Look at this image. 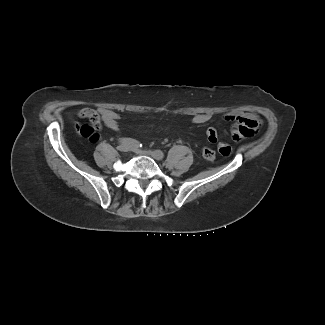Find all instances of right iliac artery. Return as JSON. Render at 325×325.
<instances>
[{
	"instance_id": "obj_1",
	"label": "right iliac artery",
	"mask_w": 325,
	"mask_h": 325,
	"mask_svg": "<svg viewBox=\"0 0 325 325\" xmlns=\"http://www.w3.org/2000/svg\"><path fill=\"white\" fill-rule=\"evenodd\" d=\"M119 143L121 145H126V146H129V147H141L142 144L140 142H138L137 140L135 139H131V138H121L119 139Z\"/></svg>"
}]
</instances>
